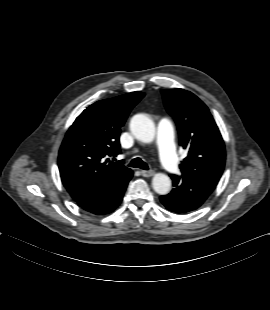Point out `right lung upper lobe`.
<instances>
[{
	"mask_svg": "<svg viewBox=\"0 0 270 310\" xmlns=\"http://www.w3.org/2000/svg\"><path fill=\"white\" fill-rule=\"evenodd\" d=\"M143 97L142 92H132L100 100L76 118L58 157L61 180L70 195L95 189L129 170L109 157L120 153L121 127Z\"/></svg>",
	"mask_w": 270,
	"mask_h": 310,
	"instance_id": "obj_1",
	"label": "right lung upper lobe"
}]
</instances>
